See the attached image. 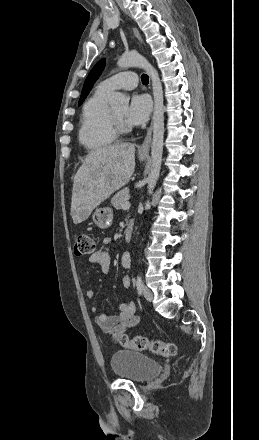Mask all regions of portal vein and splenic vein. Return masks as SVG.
Here are the masks:
<instances>
[{"instance_id":"1","label":"portal vein and splenic vein","mask_w":259,"mask_h":440,"mask_svg":"<svg viewBox=\"0 0 259 440\" xmlns=\"http://www.w3.org/2000/svg\"><path fill=\"white\" fill-rule=\"evenodd\" d=\"M122 209L126 210L130 208V203L127 201L121 205Z\"/></svg>"}]
</instances>
